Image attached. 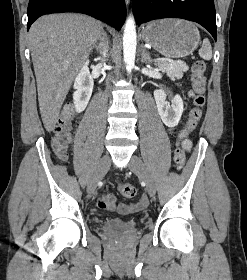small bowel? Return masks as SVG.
I'll use <instances>...</instances> for the list:
<instances>
[{
  "label": "small bowel",
  "instance_id": "1",
  "mask_svg": "<svg viewBox=\"0 0 247 280\" xmlns=\"http://www.w3.org/2000/svg\"><path fill=\"white\" fill-rule=\"evenodd\" d=\"M193 92H189V96H192ZM191 147V141L186 140L183 143V148L189 150ZM98 206L102 209L116 210L121 214H128L143 210L148 205V199L145 195H142L138 202L132 204H117L116 199L112 194L102 195L97 202Z\"/></svg>",
  "mask_w": 247,
  "mask_h": 280
}]
</instances>
